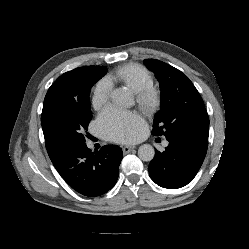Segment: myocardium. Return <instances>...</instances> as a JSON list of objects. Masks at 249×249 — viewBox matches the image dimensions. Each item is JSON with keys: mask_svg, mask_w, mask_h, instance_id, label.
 <instances>
[{"mask_svg": "<svg viewBox=\"0 0 249 249\" xmlns=\"http://www.w3.org/2000/svg\"><path fill=\"white\" fill-rule=\"evenodd\" d=\"M136 103L143 114L150 116L157 112L162 104L161 91L153 85L145 87L136 92Z\"/></svg>", "mask_w": 249, "mask_h": 249, "instance_id": "f54148a6", "label": "myocardium"}]
</instances>
